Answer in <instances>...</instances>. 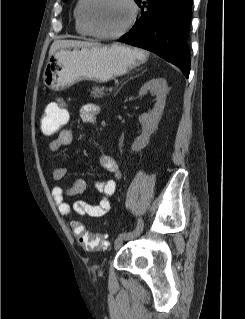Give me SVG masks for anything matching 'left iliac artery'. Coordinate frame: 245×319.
Segmentation results:
<instances>
[{"mask_svg":"<svg viewBox=\"0 0 245 319\" xmlns=\"http://www.w3.org/2000/svg\"><path fill=\"white\" fill-rule=\"evenodd\" d=\"M142 228H143V221H142V219H139L137 226L133 231L121 233V234H119V236H125L128 238H132V237L136 236L139 232H141Z\"/></svg>","mask_w":245,"mask_h":319,"instance_id":"left-iliac-artery-1","label":"left iliac artery"}]
</instances>
